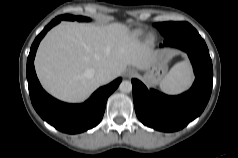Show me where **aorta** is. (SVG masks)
I'll use <instances>...</instances> for the list:
<instances>
[{
  "mask_svg": "<svg viewBox=\"0 0 238 158\" xmlns=\"http://www.w3.org/2000/svg\"><path fill=\"white\" fill-rule=\"evenodd\" d=\"M119 89L121 92L129 93L132 91V83L128 80L122 81L119 85Z\"/></svg>",
  "mask_w": 238,
  "mask_h": 158,
  "instance_id": "1",
  "label": "aorta"
}]
</instances>
